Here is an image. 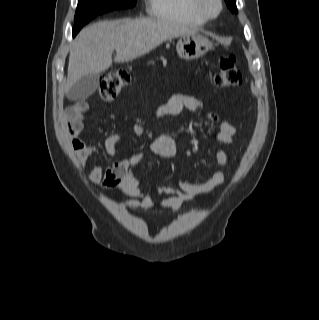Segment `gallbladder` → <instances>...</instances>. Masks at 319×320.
I'll use <instances>...</instances> for the list:
<instances>
[{
	"label": "gallbladder",
	"mask_w": 319,
	"mask_h": 320,
	"mask_svg": "<svg viewBox=\"0 0 319 320\" xmlns=\"http://www.w3.org/2000/svg\"><path fill=\"white\" fill-rule=\"evenodd\" d=\"M99 86V77L96 74H89L80 78L67 92L69 100H85L90 97Z\"/></svg>",
	"instance_id": "gallbladder-1"
}]
</instances>
